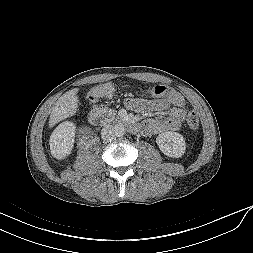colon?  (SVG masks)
Returning a JSON list of instances; mask_svg holds the SVG:
<instances>
[{
    "instance_id": "obj_1",
    "label": "colon",
    "mask_w": 253,
    "mask_h": 253,
    "mask_svg": "<svg viewBox=\"0 0 253 253\" xmlns=\"http://www.w3.org/2000/svg\"><path fill=\"white\" fill-rule=\"evenodd\" d=\"M113 91H114V87L111 84H106V85H103V86L93 89L89 93V98L92 101H96L101 96L109 95ZM148 91L150 94H152L154 96H162V95L169 93L171 91V89L168 86L158 84V85L151 87ZM186 123L191 129H193V130L197 129L199 127L198 114L194 111L190 112L187 115Z\"/></svg>"
}]
</instances>
